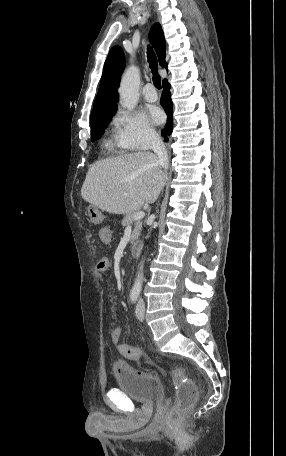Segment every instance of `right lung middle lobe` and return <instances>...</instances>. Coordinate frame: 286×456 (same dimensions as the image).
I'll return each mask as SVG.
<instances>
[{"instance_id":"dd1d6c3e","label":"right lung middle lobe","mask_w":286,"mask_h":456,"mask_svg":"<svg viewBox=\"0 0 286 456\" xmlns=\"http://www.w3.org/2000/svg\"><path fill=\"white\" fill-rule=\"evenodd\" d=\"M116 110H112L107 112L106 114L98 117L94 121L91 122L92 130H91V137L92 142L99 139L109 122L111 121L112 116L116 113Z\"/></svg>"}]
</instances>
